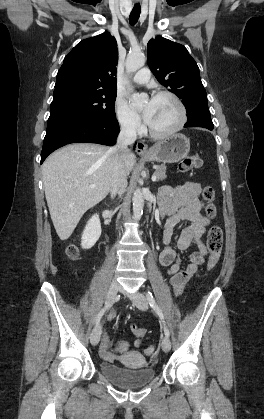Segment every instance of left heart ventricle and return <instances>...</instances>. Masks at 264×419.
Segmentation results:
<instances>
[{"label":"left heart ventricle","mask_w":264,"mask_h":419,"mask_svg":"<svg viewBox=\"0 0 264 419\" xmlns=\"http://www.w3.org/2000/svg\"><path fill=\"white\" fill-rule=\"evenodd\" d=\"M153 115L149 126L157 132H165L176 125L179 112L176 104L168 97L152 99Z\"/></svg>","instance_id":"obj_1"}]
</instances>
